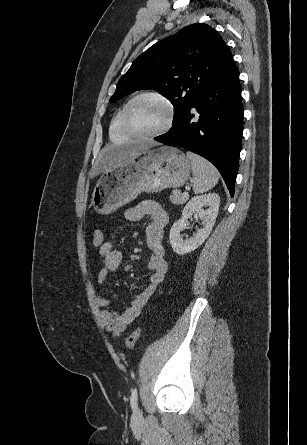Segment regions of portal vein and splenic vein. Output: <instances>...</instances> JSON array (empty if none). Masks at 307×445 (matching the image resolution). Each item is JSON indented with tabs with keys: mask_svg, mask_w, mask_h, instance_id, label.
Masks as SVG:
<instances>
[{
	"mask_svg": "<svg viewBox=\"0 0 307 445\" xmlns=\"http://www.w3.org/2000/svg\"><path fill=\"white\" fill-rule=\"evenodd\" d=\"M186 190H190V186H185ZM183 196H188V192H183Z\"/></svg>",
	"mask_w": 307,
	"mask_h": 445,
	"instance_id": "18ae733b",
	"label": "portal vein and splenic vein"
}]
</instances>
